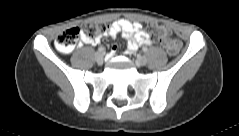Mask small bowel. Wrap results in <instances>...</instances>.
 Segmentation results:
<instances>
[{
	"instance_id": "c3829d8e",
	"label": "small bowel",
	"mask_w": 239,
	"mask_h": 136,
	"mask_svg": "<svg viewBox=\"0 0 239 136\" xmlns=\"http://www.w3.org/2000/svg\"><path fill=\"white\" fill-rule=\"evenodd\" d=\"M122 34L127 39V52L133 53L139 46H148L152 43L149 34L143 30L142 25L138 22H131L126 19L114 21L107 27L104 33L105 37L116 38ZM85 44L98 45L101 42L102 36L98 38H90L85 34L81 36ZM116 47L111 50L115 54Z\"/></svg>"
}]
</instances>
